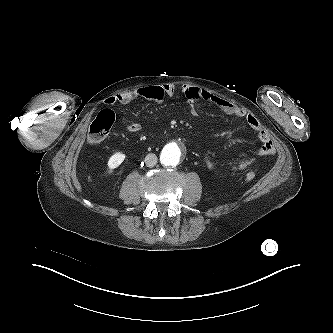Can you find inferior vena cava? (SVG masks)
<instances>
[{"instance_id": "inferior-vena-cava-1", "label": "inferior vena cava", "mask_w": 333, "mask_h": 333, "mask_svg": "<svg viewBox=\"0 0 333 333\" xmlns=\"http://www.w3.org/2000/svg\"><path fill=\"white\" fill-rule=\"evenodd\" d=\"M145 164L147 167H153L157 164V156L153 153L148 154L145 157Z\"/></svg>"}]
</instances>
